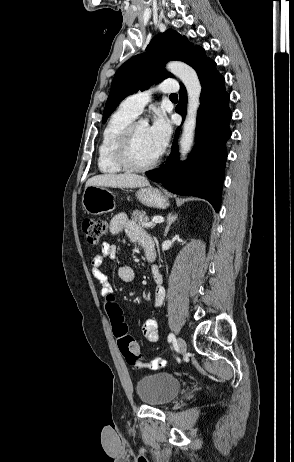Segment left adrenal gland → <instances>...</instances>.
Returning a JSON list of instances; mask_svg holds the SVG:
<instances>
[{"label": "left adrenal gland", "instance_id": "obj_1", "mask_svg": "<svg viewBox=\"0 0 294 462\" xmlns=\"http://www.w3.org/2000/svg\"><path fill=\"white\" fill-rule=\"evenodd\" d=\"M178 218V215L175 214L173 215L172 213H169L168 216H167V226H166V229H165V232H164V236L166 237L168 232H169V229H170V226L173 222H175Z\"/></svg>", "mask_w": 294, "mask_h": 462}]
</instances>
